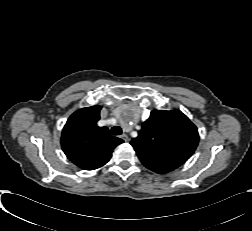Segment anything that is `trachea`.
Listing matches in <instances>:
<instances>
[{"instance_id": "obj_1", "label": "trachea", "mask_w": 252, "mask_h": 231, "mask_svg": "<svg viewBox=\"0 0 252 231\" xmlns=\"http://www.w3.org/2000/svg\"><path fill=\"white\" fill-rule=\"evenodd\" d=\"M111 133H112L113 135H121V134H122V129H121V127H119V126H114V127H112V129H111Z\"/></svg>"}]
</instances>
